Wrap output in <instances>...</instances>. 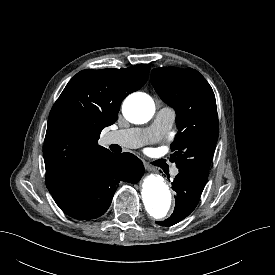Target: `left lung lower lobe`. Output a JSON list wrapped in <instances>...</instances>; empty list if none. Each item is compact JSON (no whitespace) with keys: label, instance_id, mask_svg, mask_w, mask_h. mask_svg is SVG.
<instances>
[{"label":"left lung lower lobe","instance_id":"obj_1","mask_svg":"<svg viewBox=\"0 0 275 275\" xmlns=\"http://www.w3.org/2000/svg\"><path fill=\"white\" fill-rule=\"evenodd\" d=\"M207 178L208 175L195 169H179V173L172 182V188L176 192L174 212L167 220L156 223L172 226L187 217L197 206Z\"/></svg>","mask_w":275,"mask_h":275}]
</instances>
